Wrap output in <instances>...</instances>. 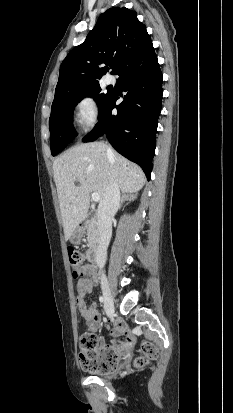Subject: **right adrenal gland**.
<instances>
[{
  "label": "right adrenal gland",
  "mask_w": 233,
  "mask_h": 413,
  "mask_svg": "<svg viewBox=\"0 0 233 413\" xmlns=\"http://www.w3.org/2000/svg\"><path fill=\"white\" fill-rule=\"evenodd\" d=\"M136 198H137V194H136V193H126V192H123V193H122V196H121V199H120V206H119V208H121L122 204H123L125 201H134V200H136Z\"/></svg>",
  "instance_id": "1"
}]
</instances>
